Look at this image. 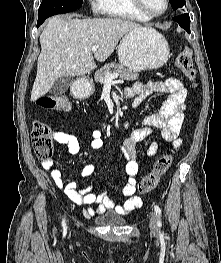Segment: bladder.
<instances>
[{"label":"bladder","instance_id":"1","mask_svg":"<svg viewBox=\"0 0 221 263\" xmlns=\"http://www.w3.org/2000/svg\"><path fill=\"white\" fill-rule=\"evenodd\" d=\"M96 221L101 225H122L125 223L123 218L113 215L97 217Z\"/></svg>","mask_w":221,"mask_h":263}]
</instances>
